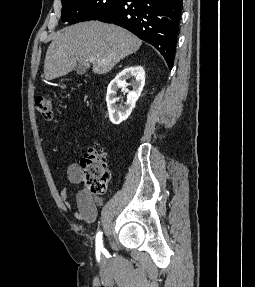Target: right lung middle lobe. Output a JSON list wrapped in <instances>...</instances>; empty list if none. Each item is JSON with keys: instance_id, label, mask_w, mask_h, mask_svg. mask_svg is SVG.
<instances>
[{"instance_id": "right-lung-middle-lobe-1", "label": "right lung middle lobe", "mask_w": 255, "mask_h": 287, "mask_svg": "<svg viewBox=\"0 0 255 287\" xmlns=\"http://www.w3.org/2000/svg\"><path fill=\"white\" fill-rule=\"evenodd\" d=\"M61 20L70 24L96 20L100 15L123 0H61Z\"/></svg>"}]
</instances>
